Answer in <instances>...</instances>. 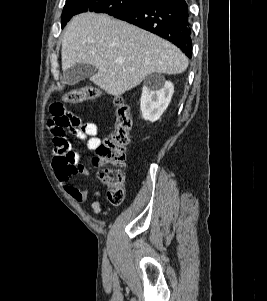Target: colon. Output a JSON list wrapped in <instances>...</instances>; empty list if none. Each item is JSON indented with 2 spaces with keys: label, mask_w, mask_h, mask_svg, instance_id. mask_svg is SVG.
Instances as JSON below:
<instances>
[{
  "label": "colon",
  "mask_w": 267,
  "mask_h": 301,
  "mask_svg": "<svg viewBox=\"0 0 267 301\" xmlns=\"http://www.w3.org/2000/svg\"><path fill=\"white\" fill-rule=\"evenodd\" d=\"M102 95L100 89L87 85L79 87L62 96L68 103H82L94 100ZM117 121L112 133L96 149L92 163L101 169L100 180L106 186L109 202L119 205L125 195V175L123 168L126 161V146L129 143V134L132 127L131 112L128 103L122 98L115 99Z\"/></svg>",
  "instance_id": "obj_1"
}]
</instances>
